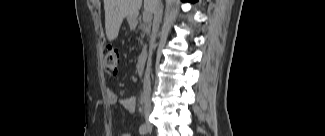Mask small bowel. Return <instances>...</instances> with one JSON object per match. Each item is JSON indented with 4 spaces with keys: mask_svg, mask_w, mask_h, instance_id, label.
<instances>
[{
    "mask_svg": "<svg viewBox=\"0 0 325 136\" xmlns=\"http://www.w3.org/2000/svg\"><path fill=\"white\" fill-rule=\"evenodd\" d=\"M106 98H107L108 104H115L118 102V97H117L116 93L112 90H107ZM120 103L126 111H128L132 114L136 113L137 101L134 97L125 98V99L121 100Z\"/></svg>",
    "mask_w": 325,
    "mask_h": 136,
    "instance_id": "obj_1",
    "label": "small bowel"
}]
</instances>
